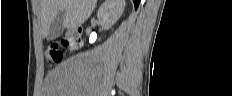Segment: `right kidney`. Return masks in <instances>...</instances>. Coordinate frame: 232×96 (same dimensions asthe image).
<instances>
[{"label":"right kidney","mask_w":232,"mask_h":96,"mask_svg":"<svg viewBox=\"0 0 232 96\" xmlns=\"http://www.w3.org/2000/svg\"><path fill=\"white\" fill-rule=\"evenodd\" d=\"M125 8V0H105L100 6L97 17L100 25L110 29L120 18Z\"/></svg>","instance_id":"1"}]
</instances>
